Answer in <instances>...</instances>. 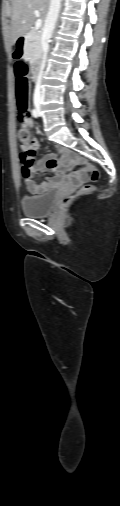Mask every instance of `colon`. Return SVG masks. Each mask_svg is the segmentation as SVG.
Returning <instances> with one entry per match:
<instances>
[{"label":"colon","mask_w":120,"mask_h":506,"mask_svg":"<svg viewBox=\"0 0 120 506\" xmlns=\"http://www.w3.org/2000/svg\"><path fill=\"white\" fill-rule=\"evenodd\" d=\"M15 50L12 52V57L15 60L17 65V70L15 72L16 77V105H17V113L18 119L25 124L29 120L28 114V92H29V82H28V72L26 65L28 62V57L26 55L25 58H16ZM17 139L19 145L22 150V158L25 162V165L29 168L34 166V155L36 149L38 147L37 141L33 138L30 131L24 126L17 133ZM79 169L83 172H87L90 175V180L92 182H97L100 178L99 170L96 166L91 163L83 162L80 164ZM92 189V186L87 184L83 186L81 189L82 193L89 192ZM75 195L67 196L62 200V205L66 206L74 199Z\"/></svg>","instance_id":"5ec220e1"}]
</instances>
